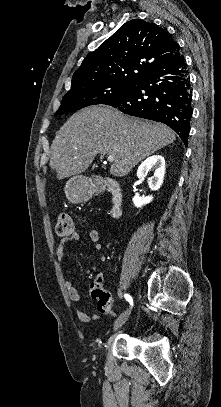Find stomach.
<instances>
[{
    "label": "stomach",
    "instance_id": "0dacf381",
    "mask_svg": "<svg viewBox=\"0 0 221 407\" xmlns=\"http://www.w3.org/2000/svg\"><path fill=\"white\" fill-rule=\"evenodd\" d=\"M65 195L69 202L79 204L88 201L92 197V190L83 176L70 178L64 187Z\"/></svg>",
    "mask_w": 221,
    "mask_h": 407
}]
</instances>
